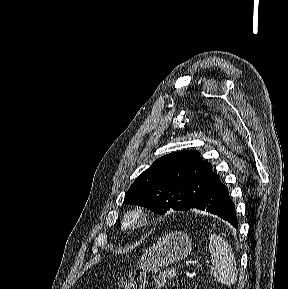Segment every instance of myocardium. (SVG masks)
I'll list each match as a JSON object with an SVG mask.
<instances>
[{
  "instance_id": "f54148a6",
  "label": "myocardium",
  "mask_w": 288,
  "mask_h": 289,
  "mask_svg": "<svg viewBox=\"0 0 288 289\" xmlns=\"http://www.w3.org/2000/svg\"><path fill=\"white\" fill-rule=\"evenodd\" d=\"M151 221L150 209L143 204H135L128 208L121 219V229L135 232L146 228Z\"/></svg>"
}]
</instances>
